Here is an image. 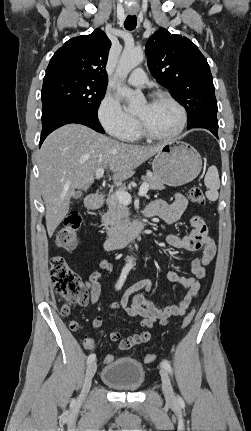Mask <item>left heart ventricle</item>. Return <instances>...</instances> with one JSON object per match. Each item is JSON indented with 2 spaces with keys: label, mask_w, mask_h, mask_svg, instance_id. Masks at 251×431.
Returning a JSON list of instances; mask_svg holds the SVG:
<instances>
[{
  "label": "left heart ventricle",
  "mask_w": 251,
  "mask_h": 431,
  "mask_svg": "<svg viewBox=\"0 0 251 431\" xmlns=\"http://www.w3.org/2000/svg\"><path fill=\"white\" fill-rule=\"evenodd\" d=\"M135 115L151 132L159 135L173 132L180 121L178 109L166 101L143 102L136 109Z\"/></svg>",
  "instance_id": "1"
}]
</instances>
